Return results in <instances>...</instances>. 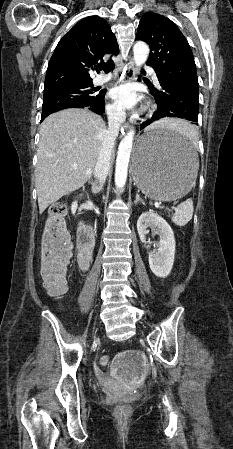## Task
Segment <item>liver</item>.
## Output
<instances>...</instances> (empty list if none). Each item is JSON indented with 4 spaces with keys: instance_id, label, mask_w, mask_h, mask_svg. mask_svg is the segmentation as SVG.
Masks as SVG:
<instances>
[{
    "instance_id": "obj_1",
    "label": "liver",
    "mask_w": 233,
    "mask_h": 449,
    "mask_svg": "<svg viewBox=\"0 0 233 449\" xmlns=\"http://www.w3.org/2000/svg\"><path fill=\"white\" fill-rule=\"evenodd\" d=\"M176 124L183 122L165 118L146 131ZM106 131L103 119L87 109L62 110L42 122L35 169L40 213L91 178Z\"/></svg>"
}]
</instances>
